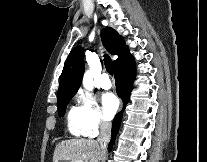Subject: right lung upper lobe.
Returning a JSON list of instances; mask_svg holds the SVG:
<instances>
[{"instance_id": "1", "label": "right lung upper lobe", "mask_w": 207, "mask_h": 162, "mask_svg": "<svg viewBox=\"0 0 207 162\" xmlns=\"http://www.w3.org/2000/svg\"><path fill=\"white\" fill-rule=\"evenodd\" d=\"M101 38L108 52L118 56L114 61V69L132 59L123 38L114 29L109 27L102 29ZM83 73V50L81 47H75L71 50L61 74L58 99L75 95L81 84Z\"/></svg>"}]
</instances>
